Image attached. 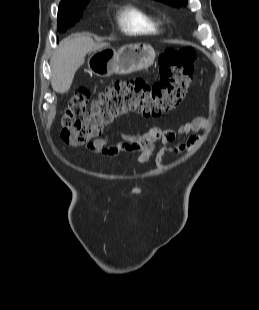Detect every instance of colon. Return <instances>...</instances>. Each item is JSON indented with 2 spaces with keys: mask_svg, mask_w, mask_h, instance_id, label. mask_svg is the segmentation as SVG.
<instances>
[{
  "mask_svg": "<svg viewBox=\"0 0 259 310\" xmlns=\"http://www.w3.org/2000/svg\"><path fill=\"white\" fill-rule=\"evenodd\" d=\"M194 60L192 48H167L159 57V81L153 84L141 78L116 81L89 107L92 91L85 87L77 89L61 118L62 139L69 145H86L120 115L136 112L160 116L176 109L190 90Z\"/></svg>",
  "mask_w": 259,
  "mask_h": 310,
  "instance_id": "colon-1",
  "label": "colon"
}]
</instances>
